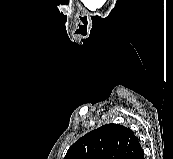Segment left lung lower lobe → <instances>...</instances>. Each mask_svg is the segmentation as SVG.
I'll return each mask as SVG.
<instances>
[{
  "mask_svg": "<svg viewBox=\"0 0 173 159\" xmlns=\"http://www.w3.org/2000/svg\"><path fill=\"white\" fill-rule=\"evenodd\" d=\"M134 159H144V152L141 149Z\"/></svg>",
  "mask_w": 173,
  "mask_h": 159,
  "instance_id": "0a47b994",
  "label": "left lung lower lobe"
}]
</instances>
